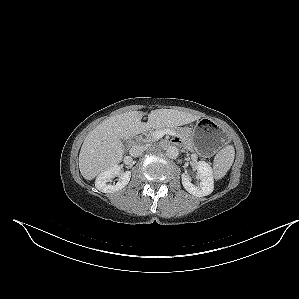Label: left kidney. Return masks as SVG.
Listing matches in <instances>:
<instances>
[{
    "mask_svg": "<svg viewBox=\"0 0 299 299\" xmlns=\"http://www.w3.org/2000/svg\"><path fill=\"white\" fill-rule=\"evenodd\" d=\"M197 179L200 181L194 185L191 183V177L187 174H182V185L185 190L196 197L207 196L214 189L213 170L205 161H199L197 165Z\"/></svg>",
    "mask_w": 299,
    "mask_h": 299,
    "instance_id": "1",
    "label": "left kidney"
}]
</instances>
